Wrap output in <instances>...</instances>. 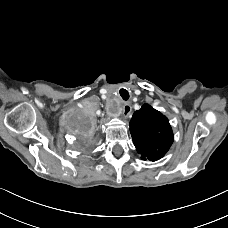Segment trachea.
I'll return each mask as SVG.
<instances>
[{
  "mask_svg": "<svg viewBox=\"0 0 228 228\" xmlns=\"http://www.w3.org/2000/svg\"><path fill=\"white\" fill-rule=\"evenodd\" d=\"M119 93H120V96L122 97V99H124V100L129 99V92L126 89H120Z\"/></svg>",
  "mask_w": 228,
  "mask_h": 228,
  "instance_id": "obj_1",
  "label": "trachea"
}]
</instances>
